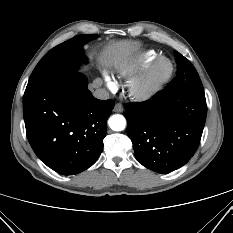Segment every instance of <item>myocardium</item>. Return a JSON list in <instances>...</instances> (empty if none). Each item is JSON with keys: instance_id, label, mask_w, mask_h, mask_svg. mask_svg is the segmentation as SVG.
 Masks as SVG:
<instances>
[{"instance_id": "myocardium-1", "label": "myocardium", "mask_w": 233, "mask_h": 233, "mask_svg": "<svg viewBox=\"0 0 233 233\" xmlns=\"http://www.w3.org/2000/svg\"><path fill=\"white\" fill-rule=\"evenodd\" d=\"M163 63L168 65L165 72H161ZM173 72L174 66L172 61L165 56L158 57L146 74L130 83V95L140 101L150 99L170 80Z\"/></svg>"}]
</instances>
